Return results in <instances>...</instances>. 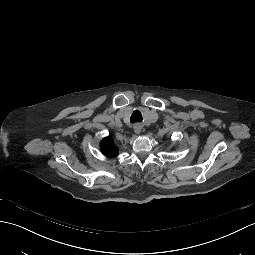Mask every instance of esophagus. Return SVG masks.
<instances>
[{
	"mask_svg": "<svg viewBox=\"0 0 255 255\" xmlns=\"http://www.w3.org/2000/svg\"><path fill=\"white\" fill-rule=\"evenodd\" d=\"M141 130H142V126L140 124H136L134 126V131L136 134H140Z\"/></svg>",
	"mask_w": 255,
	"mask_h": 255,
	"instance_id": "obj_1",
	"label": "esophagus"
}]
</instances>
